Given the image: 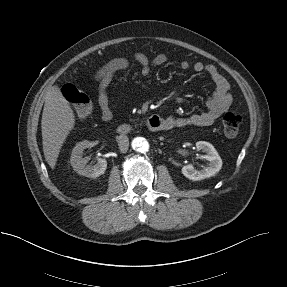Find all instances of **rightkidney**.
Returning a JSON list of instances; mask_svg holds the SVG:
<instances>
[{
	"instance_id": "1",
	"label": "right kidney",
	"mask_w": 287,
	"mask_h": 287,
	"mask_svg": "<svg viewBox=\"0 0 287 287\" xmlns=\"http://www.w3.org/2000/svg\"><path fill=\"white\" fill-rule=\"evenodd\" d=\"M91 145L92 144L87 140L77 143L72 150L70 163L74 171L79 175L96 178L104 174L106 171L107 161L105 159L98 158L95 165H87L88 159L83 158V151L84 149L91 147Z\"/></svg>"
}]
</instances>
